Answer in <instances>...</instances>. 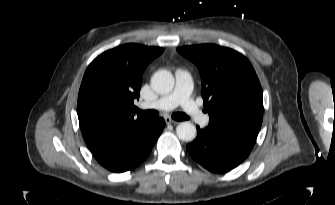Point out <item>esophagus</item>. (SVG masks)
Listing matches in <instances>:
<instances>
[{"mask_svg":"<svg viewBox=\"0 0 335 205\" xmlns=\"http://www.w3.org/2000/svg\"><path fill=\"white\" fill-rule=\"evenodd\" d=\"M165 122L166 124H177L178 123L177 121L173 120L170 117H165Z\"/></svg>","mask_w":335,"mask_h":205,"instance_id":"34e87169","label":"esophagus"}]
</instances>
